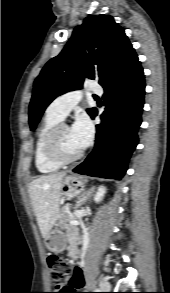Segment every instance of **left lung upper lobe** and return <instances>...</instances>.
Wrapping results in <instances>:
<instances>
[{
    "label": "left lung upper lobe",
    "instance_id": "obj_1",
    "mask_svg": "<svg viewBox=\"0 0 170 293\" xmlns=\"http://www.w3.org/2000/svg\"><path fill=\"white\" fill-rule=\"evenodd\" d=\"M132 47L124 29L112 16H88L77 26L62 52L52 58L34 82L29 106L33 131L46 107L59 95L81 89L86 78L103 84L114 66ZM92 117L95 108L87 110Z\"/></svg>",
    "mask_w": 170,
    "mask_h": 293
}]
</instances>
